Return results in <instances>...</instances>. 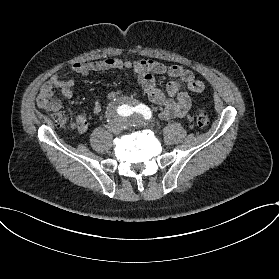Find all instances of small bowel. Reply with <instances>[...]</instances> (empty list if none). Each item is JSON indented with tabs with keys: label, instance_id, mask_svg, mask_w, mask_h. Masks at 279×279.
I'll return each mask as SVG.
<instances>
[{
	"label": "small bowel",
	"instance_id": "obj_1",
	"mask_svg": "<svg viewBox=\"0 0 279 279\" xmlns=\"http://www.w3.org/2000/svg\"><path fill=\"white\" fill-rule=\"evenodd\" d=\"M108 70H130L137 76L140 85L149 99L160 106V117L170 120L187 114L192 105V99L186 89L200 93L204 90V83L197 79L193 71L181 65H166L156 60L129 61L121 58H107L103 60H91L75 63L71 71L85 76L91 72ZM155 74H166L178 81H170L166 85V94L157 88ZM74 79H64L59 75H53L40 88L37 105L39 108L55 112L61 124L71 130L83 134L88 129V117L86 113H80L69 121L62 110V102L54 97V90L59 89L66 99H72ZM118 92L112 93L114 97ZM92 112L99 115L102 112V100L97 98L93 102Z\"/></svg>",
	"mask_w": 279,
	"mask_h": 279
}]
</instances>
